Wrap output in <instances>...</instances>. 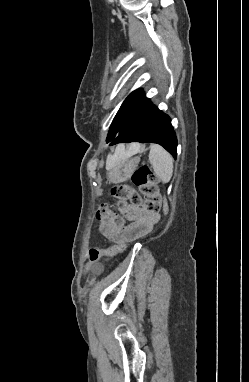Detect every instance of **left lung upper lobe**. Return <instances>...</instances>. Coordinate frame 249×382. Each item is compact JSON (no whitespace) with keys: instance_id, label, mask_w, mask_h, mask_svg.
I'll return each instance as SVG.
<instances>
[{"instance_id":"left-lung-upper-lobe-1","label":"left lung upper lobe","mask_w":249,"mask_h":382,"mask_svg":"<svg viewBox=\"0 0 249 382\" xmlns=\"http://www.w3.org/2000/svg\"><path fill=\"white\" fill-rule=\"evenodd\" d=\"M151 104V101L145 97L144 92L140 89L129 94L111 124L106 139L107 143L111 142L119 133L131 128Z\"/></svg>"}]
</instances>
